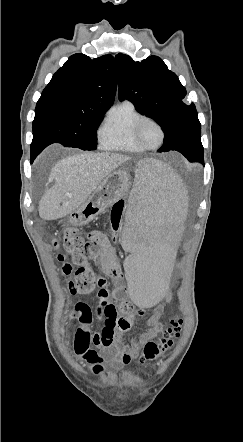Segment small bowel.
I'll use <instances>...</instances> for the list:
<instances>
[{"label": "small bowel", "instance_id": "1", "mask_svg": "<svg viewBox=\"0 0 243 442\" xmlns=\"http://www.w3.org/2000/svg\"><path fill=\"white\" fill-rule=\"evenodd\" d=\"M88 237L91 242L88 256L98 261L104 272L114 281L113 297L117 304L110 298L106 277L98 276L96 305L93 307L84 301L76 302L68 311L67 320L79 322L74 337L75 355L87 363L95 375L100 376L110 370L119 371L128 365L138 356L143 345L161 332L162 309L160 306L155 307L147 320L146 330L125 343L123 336L132 326L134 313L125 293L126 286L122 282L120 261L105 232L94 230ZM95 319L102 322V327L92 331L91 325Z\"/></svg>", "mask_w": 243, "mask_h": 442}]
</instances>
